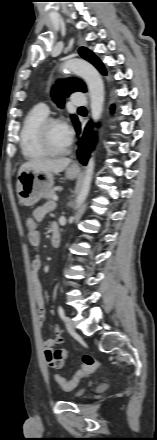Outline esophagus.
<instances>
[{"instance_id": "esophagus-1", "label": "esophagus", "mask_w": 157, "mask_h": 440, "mask_svg": "<svg viewBox=\"0 0 157 440\" xmlns=\"http://www.w3.org/2000/svg\"><path fill=\"white\" fill-rule=\"evenodd\" d=\"M72 167H73L74 169H79V168H80L79 165H78L77 163L73 164Z\"/></svg>"}]
</instances>
